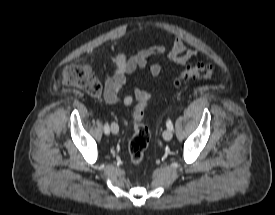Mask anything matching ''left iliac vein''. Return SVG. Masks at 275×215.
<instances>
[{"mask_svg": "<svg viewBox=\"0 0 275 215\" xmlns=\"http://www.w3.org/2000/svg\"><path fill=\"white\" fill-rule=\"evenodd\" d=\"M172 130L171 129H167L163 132V138L166 140V141H170L172 139Z\"/></svg>", "mask_w": 275, "mask_h": 215, "instance_id": "1", "label": "left iliac vein"}]
</instances>
